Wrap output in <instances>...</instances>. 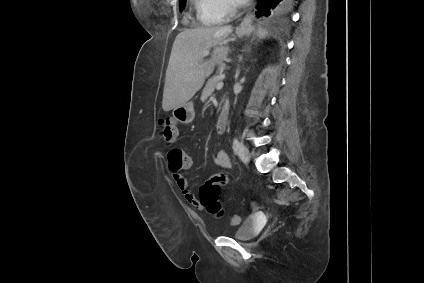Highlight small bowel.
Here are the masks:
<instances>
[{
  "instance_id": "c3829d8e",
  "label": "small bowel",
  "mask_w": 424,
  "mask_h": 283,
  "mask_svg": "<svg viewBox=\"0 0 424 283\" xmlns=\"http://www.w3.org/2000/svg\"><path fill=\"white\" fill-rule=\"evenodd\" d=\"M187 157H188L189 165L183 169H187L191 166V163H192L191 158L189 156ZM214 163L215 165L224 169H229L231 167V160L224 149H218L216 151L214 156ZM171 172L177 187L182 192L185 199L190 204L198 208L201 207L198 198L196 197V195L194 194V192L191 190L189 186V182L187 178L180 171H171Z\"/></svg>"
}]
</instances>
